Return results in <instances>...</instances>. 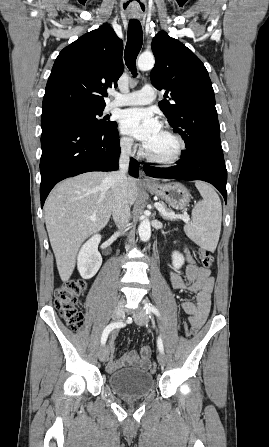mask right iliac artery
<instances>
[{
	"instance_id": "82829eb1",
	"label": "right iliac artery",
	"mask_w": 269,
	"mask_h": 447,
	"mask_svg": "<svg viewBox=\"0 0 269 447\" xmlns=\"http://www.w3.org/2000/svg\"><path fill=\"white\" fill-rule=\"evenodd\" d=\"M122 326H123L122 322H113V323H110L109 325H107L102 333V336H101V344L104 345L106 343L109 333L114 328L122 327Z\"/></svg>"
}]
</instances>
